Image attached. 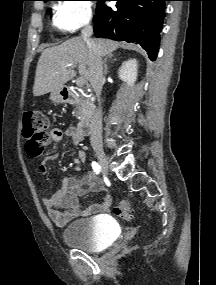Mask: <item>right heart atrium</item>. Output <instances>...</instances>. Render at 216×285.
Listing matches in <instances>:
<instances>
[{
	"instance_id": "right-heart-atrium-1",
	"label": "right heart atrium",
	"mask_w": 216,
	"mask_h": 285,
	"mask_svg": "<svg viewBox=\"0 0 216 285\" xmlns=\"http://www.w3.org/2000/svg\"><path fill=\"white\" fill-rule=\"evenodd\" d=\"M91 19V4L86 0H64L55 8L54 24L62 32H75Z\"/></svg>"
}]
</instances>
